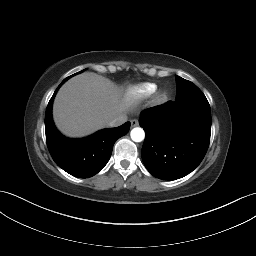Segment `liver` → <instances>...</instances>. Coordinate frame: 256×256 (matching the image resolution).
<instances>
[{"mask_svg": "<svg viewBox=\"0 0 256 256\" xmlns=\"http://www.w3.org/2000/svg\"><path fill=\"white\" fill-rule=\"evenodd\" d=\"M124 110L122 90L109 79L86 72L60 88L53 104V119L66 136L83 137L108 126Z\"/></svg>", "mask_w": 256, "mask_h": 256, "instance_id": "1", "label": "liver"}]
</instances>
